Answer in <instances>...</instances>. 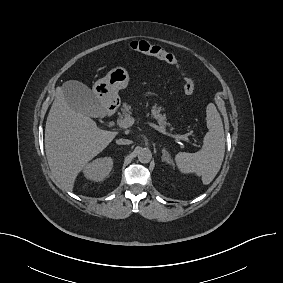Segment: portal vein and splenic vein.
Masks as SVG:
<instances>
[{
  "instance_id": "18ae733b",
  "label": "portal vein and splenic vein",
  "mask_w": 283,
  "mask_h": 283,
  "mask_svg": "<svg viewBox=\"0 0 283 283\" xmlns=\"http://www.w3.org/2000/svg\"><path fill=\"white\" fill-rule=\"evenodd\" d=\"M134 123H135V119L131 116H128L127 118H124L123 120L118 121L117 124L121 128H127V127L132 126ZM147 124L153 127L155 130L159 131L160 133L167 135L171 138H174L176 140H182L188 143L190 142V140L184 135H176V134L169 133L163 127H160L152 122H147Z\"/></svg>"
}]
</instances>
